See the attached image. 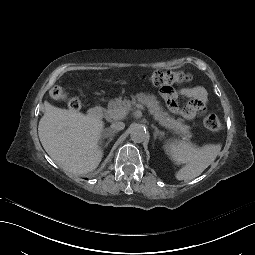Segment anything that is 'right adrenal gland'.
Listing matches in <instances>:
<instances>
[{"label": "right adrenal gland", "instance_id": "obj_1", "mask_svg": "<svg viewBox=\"0 0 255 255\" xmlns=\"http://www.w3.org/2000/svg\"><path fill=\"white\" fill-rule=\"evenodd\" d=\"M117 131L112 130L111 128H106L103 132V137H110L109 141L106 143V146L112 141L113 136L115 135Z\"/></svg>", "mask_w": 255, "mask_h": 255}]
</instances>
